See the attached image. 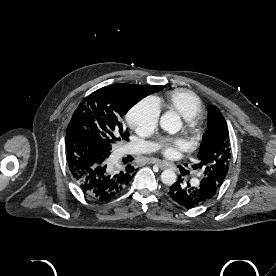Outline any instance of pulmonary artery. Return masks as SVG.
<instances>
[{
    "instance_id": "1",
    "label": "pulmonary artery",
    "mask_w": 276,
    "mask_h": 276,
    "mask_svg": "<svg viewBox=\"0 0 276 276\" xmlns=\"http://www.w3.org/2000/svg\"><path fill=\"white\" fill-rule=\"evenodd\" d=\"M153 150L154 146L152 144L143 142L130 144L125 149V151L129 153H148ZM194 181L196 182L197 180L195 179Z\"/></svg>"
}]
</instances>
